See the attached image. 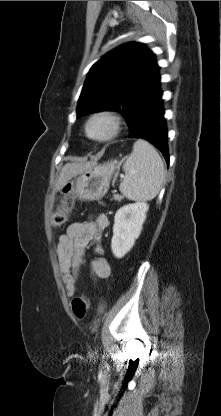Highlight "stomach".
Returning <instances> with one entry per match:
<instances>
[{"label": "stomach", "instance_id": "obj_1", "mask_svg": "<svg viewBox=\"0 0 221 416\" xmlns=\"http://www.w3.org/2000/svg\"><path fill=\"white\" fill-rule=\"evenodd\" d=\"M117 168L116 161L95 165L78 174L72 182V192L83 201L101 199L108 191L110 180Z\"/></svg>", "mask_w": 221, "mask_h": 416}]
</instances>
